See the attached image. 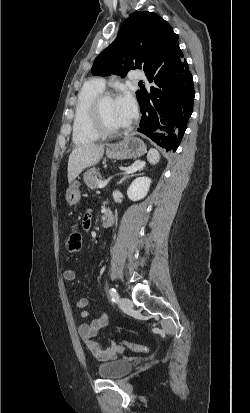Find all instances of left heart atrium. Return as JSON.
Returning <instances> with one entry per match:
<instances>
[{
    "mask_svg": "<svg viewBox=\"0 0 250 413\" xmlns=\"http://www.w3.org/2000/svg\"><path fill=\"white\" fill-rule=\"evenodd\" d=\"M119 116L124 125L131 123L137 115V104L131 93L121 92L115 99Z\"/></svg>",
    "mask_w": 250,
    "mask_h": 413,
    "instance_id": "1",
    "label": "left heart atrium"
}]
</instances>
